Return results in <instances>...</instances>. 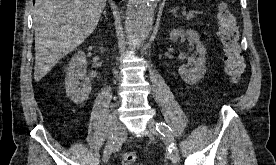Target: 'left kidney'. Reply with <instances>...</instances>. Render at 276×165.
Here are the masks:
<instances>
[{
	"mask_svg": "<svg viewBox=\"0 0 276 165\" xmlns=\"http://www.w3.org/2000/svg\"><path fill=\"white\" fill-rule=\"evenodd\" d=\"M186 36L190 43L196 44L197 52L199 53V58L197 60L191 61L186 65H182L178 69V73L181 78L188 84H196L205 74V63H206V49L200 41L199 34L194 30H181L173 29L170 32L169 39L173 42L177 41L178 38Z\"/></svg>",
	"mask_w": 276,
	"mask_h": 165,
	"instance_id": "obj_1",
	"label": "left kidney"
}]
</instances>
